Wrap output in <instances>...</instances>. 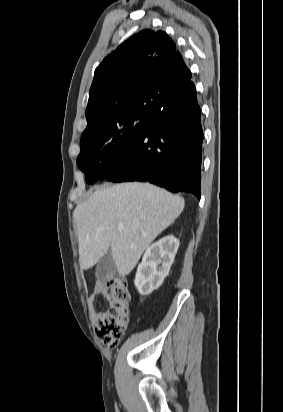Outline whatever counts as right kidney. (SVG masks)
<instances>
[{"mask_svg": "<svg viewBox=\"0 0 283 412\" xmlns=\"http://www.w3.org/2000/svg\"><path fill=\"white\" fill-rule=\"evenodd\" d=\"M179 247V240L172 235L165 236L146 249L138 265L135 286L138 292L147 296L157 289L168 275Z\"/></svg>", "mask_w": 283, "mask_h": 412, "instance_id": "right-kidney-1", "label": "right kidney"}]
</instances>
